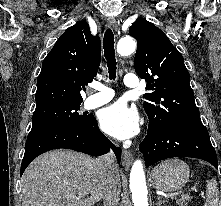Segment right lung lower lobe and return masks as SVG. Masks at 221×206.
Listing matches in <instances>:
<instances>
[{"instance_id": "98d812e1", "label": "right lung lower lobe", "mask_w": 221, "mask_h": 206, "mask_svg": "<svg viewBox=\"0 0 221 206\" xmlns=\"http://www.w3.org/2000/svg\"><path fill=\"white\" fill-rule=\"evenodd\" d=\"M72 149L94 156L114 151L118 162L121 149L115 147L98 128L96 118L82 125H54L33 129L28 134L21 163L22 175L26 167L40 154L53 149Z\"/></svg>"}]
</instances>
